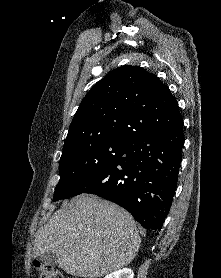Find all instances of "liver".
I'll use <instances>...</instances> for the list:
<instances>
[{"label": "liver", "instance_id": "1", "mask_svg": "<svg viewBox=\"0 0 221 278\" xmlns=\"http://www.w3.org/2000/svg\"><path fill=\"white\" fill-rule=\"evenodd\" d=\"M141 239L126 210L94 195L83 194L57 210L35 235L33 254L56 255L66 273L100 278L132 262Z\"/></svg>", "mask_w": 221, "mask_h": 278}]
</instances>
